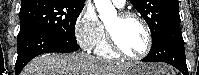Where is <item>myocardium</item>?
I'll use <instances>...</instances> for the list:
<instances>
[{
    "mask_svg": "<svg viewBox=\"0 0 199 75\" xmlns=\"http://www.w3.org/2000/svg\"><path fill=\"white\" fill-rule=\"evenodd\" d=\"M119 18L121 20H127V19H134L136 21H138L140 23V25L142 26L144 32H145V36H146V46L145 49L142 53L138 54V55H129L127 54L117 43L116 39L114 38L113 34L108 30V28H106L107 31V38H108V44L111 47V49L118 54L119 56H121L122 58L128 59V60H141L144 57H146L151 48H152V34H151V30L147 24V22L140 17L139 15L132 13V12H122L118 14Z\"/></svg>",
    "mask_w": 199,
    "mask_h": 75,
    "instance_id": "myocardium-1",
    "label": "myocardium"
}]
</instances>
